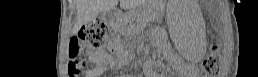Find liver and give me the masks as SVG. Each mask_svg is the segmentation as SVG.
<instances>
[{"label": "liver", "mask_w": 258, "mask_h": 77, "mask_svg": "<svg viewBox=\"0 0 258 77\" xmlns=\"http://www.w3.org/2000/svg\"><path fill=\"white\" fill-rule=\"evenodd\" d=\"M118 0H76L77 22L75 32L83 25L96 19L102 12H107L114 8ZM121 8H127L125 0L120 1Z\"/></svg>", "instance_id": "obj_1"}]
</instances>
